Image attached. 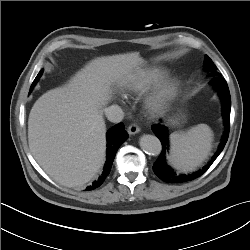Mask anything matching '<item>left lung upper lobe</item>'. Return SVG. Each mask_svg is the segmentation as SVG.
Here are the masks:
<instances>
[{
	"label": "left lung upper lobe",
	"mask_w": 250,
	"mask_h": 250,
	"mask_svg": "<svg viewBox=\"0 0 250 250\" xmlns=\"http://www.w3.org/2000/svg\"><path fill=\"white\" fill-rule=\"evenodd\" d=\"M204 66L205 68L211 73L210 75L213 77H219L221 74H219L216 69L217 67L213 63V61L206 55L204 60Z\"/></svg>",
	"instance_id": "left-lung-upper-lobe-1"
}]
</instances>
